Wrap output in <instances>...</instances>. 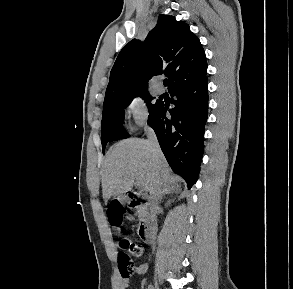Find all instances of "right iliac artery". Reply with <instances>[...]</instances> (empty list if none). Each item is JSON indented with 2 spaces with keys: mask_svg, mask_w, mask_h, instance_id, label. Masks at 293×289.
Instances as JSON below:
<instances>
[{
  "mask_svg": "<svg viewBox=\"0 0 293 289\" xmlns=\"http://www.w3.org/2000/svg\"><path fill=\"white\" fill-rule=\"evenodd\" d=\"M148 289H154V287L152 285H149Z\"/></svg>",
  "mask_w": 293,
  "mask_h": 289,
  "instance_id": "82829eb1",
  "label": "right iliac artery"
}]
</instances>
